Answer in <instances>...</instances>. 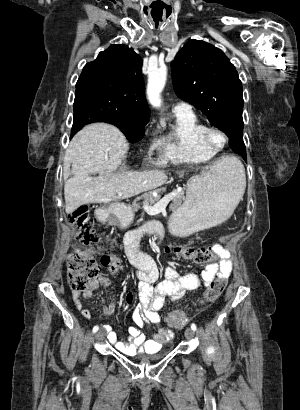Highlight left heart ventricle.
I'll return each mask as SVG.
<instances>
[{
    "instance_id": "1",
    "label": "left heart ventricle",
    "mask_w": 300,
    "mask_h": 410,
    "mask_svg": "<svg viewBox=\"0 0 300 410\" xmlns=\"http://www.w3.org/2000/svg\"><path fill=\"white\" fill-rule=\"evenodd\" d=\"M210 140L215 146H220L224 142L223 137L219 133H216V132H213L211 134Z\"/></svg>"
}]
</instances>
